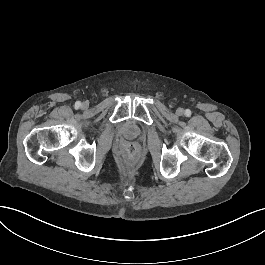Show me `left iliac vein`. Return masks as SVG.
Returning a JSON list of instances; mask_svg holds the SVG:
<instances>
[{
  "instance_id": "obj_1",
  "label": "left iliac vein",
  "mask_w": 265,
  "mask_h": 265,
  "mask_svg": "<svg viewBox=\"0 0 265 265\" xmlns=\"http://www.w3.org/2000/svg\"><path fill=\"white\" fill-rule=\"evenodd\" d=\"M183 113H184L183 108H178V109L176 110V114H177L178 116L183 115Z\"/></svg>"
}]
</instances>
